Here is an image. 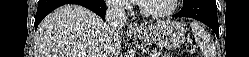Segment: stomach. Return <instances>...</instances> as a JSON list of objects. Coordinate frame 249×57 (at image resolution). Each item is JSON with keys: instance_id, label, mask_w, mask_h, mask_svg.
<instances>
[{"instance_id": "0dacf381", "label": "stomach", "mask_w": 249, "mask_h": 57, "mask_svg": "<svg viewBox=\"0 0 249 57\" xmlns=\"http://www.w3.org/2000/svg\"><path fill=\"white\" fill-rule=\"evenodd\" d=\"M185 26L176 20H159L134 32L133 36L145 42H154L160 47L175 49L185 41Z\"/></svg>"}]
</instances>
